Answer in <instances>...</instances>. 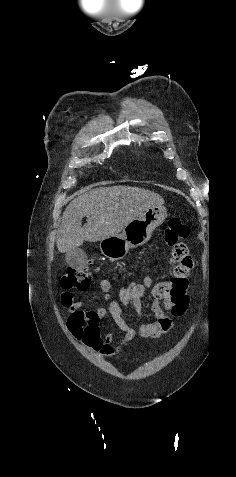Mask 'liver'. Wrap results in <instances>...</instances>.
<instances>
[{
	"label": "liver",
	"mask_w": 236,
	"mask_h": 477,
	"mask_svg": "<svg viewBox=\"0 0 236 477\" xmlns=\"http://www.w3.org/2000/svg\"><path fill=\"white\" fill-rule=\"evenodd\" d=\"M164 199L152 191L129 186L99 187L72 200L66 207L56 237L61 253L84 241L97 242L119 233L152 207L163 206ZM87 223L82 227V218Z\"/></svg>",
	"instance_id": "1"
}]
</instances>
